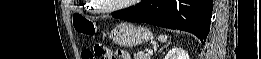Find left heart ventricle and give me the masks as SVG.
I'll use <instances>...</instances> for the list:
<instances>
[{
	"mask_svg": "<svg viewBox=\"0 0 261 59\" xmlns=\"http://www.w3.org/2000/svg\"><path fill=\"white\" fill-rule=\"evenodd\" d=\"M128 2L126 0H100L98 1V4L100 7L105 8V7H111V6H116L121 3Z\"/></svg>",
	"mask_w": 261,
	"mask_h": 59,
	"instance_id": "left-heart-ventricle-1",
	"label": "left heart ventricle"
}]
</instances>
